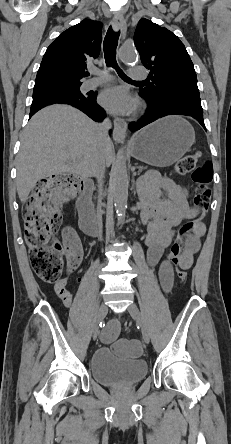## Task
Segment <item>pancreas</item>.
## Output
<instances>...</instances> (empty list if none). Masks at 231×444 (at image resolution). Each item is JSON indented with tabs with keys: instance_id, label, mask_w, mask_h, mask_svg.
<instances>
[{
	"instance_id": "cf45deb5",
	"label": "pancreas",
	"mask_w": 231,
	"mask_h": 444,
	"mask_svg": "<svg viewBox=\"0 0 231 444\" xmlns=\"http://www.w3.org/2000/svg\"><path fill=\"white\" fill-rule=\"evenodd\" d=\"M147 170V166H143V165H139L138 166V171L139 173H142L143 171Z\"/></svg>"
}]
</instances>
